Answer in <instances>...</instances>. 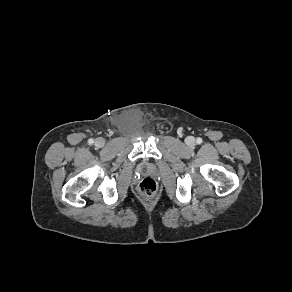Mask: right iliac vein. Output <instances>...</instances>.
<instances>
[{
    "label": "right iliac vein",
    "mask_w": 292,
    "mask_h": 292,
    "mask_svg": "<svg viewBox=\"0 0 292 292\" xmlns=\"http://www.w3.org/2000/svg\"><path fill=\"white\" fill-rule=\"evenodd\" d=\"M95 145L101 148L105 145V140L103 138H97L95 141Z\"/></svg>",
    "instance_id": "63e3f726"
}]
</instances>
